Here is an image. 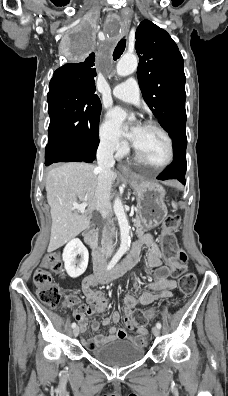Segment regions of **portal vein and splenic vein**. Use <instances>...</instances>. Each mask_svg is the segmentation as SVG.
<instances>
[{
    "instance_id": "18ae733b",
    "label": "portal vein and splenic vein",
    "mask_w": 228,
    "mask_h": 396,
    "mask_svg": "<svg viewBox=\"0 0 228 396\" xmlns=\"http://www.w3.org/2000/svg\"><path fill=\"white\" fill-rule=\"evenodd\" d=\"M87 203L86 202H82L80 204H74L73 205V209L79 211L81 214L85 213V208L87 207Z\"/></svg>"
}]
</instances>
